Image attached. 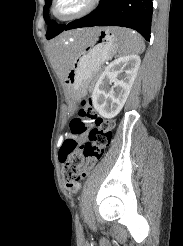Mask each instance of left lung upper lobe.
Masks as SVG:
<instances>
[{
  "mask_svg": "<svg viewBox=\"0 0 183 246\" xmlns=\"http://www.w3.org/2000/svg\"><path fill=\"white\" fill-rule=\"evenodd\" d=\"M52 0H45V6L43 9L44 13V19L46 23L48 24V29L46 33V38L51 39L55 36H57L59 33H61L66 25L58 24L54 20H51L48 16L49 13V7L51 6Z\"/></svg>",
  "mask_w": 183,
  "mask_h": 246,
  "instance_id": "obj_1",
  "label": "left lung upper lobe"
}]
</instances>
